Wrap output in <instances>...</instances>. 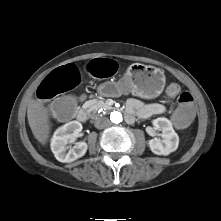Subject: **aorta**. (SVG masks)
I'll return each instance as SVG.
<instances>
[{
    "instance_id": "obj_1",
    "label": "aorta",
    "mask_w": 221,
    "mask_h": 221,
    "mask_svg": "<svg viewBox=\"0 0 221 221\" xmlns=\"http://www.w3.org/2000/svg\"><path fill=\"white\" fill-rule=\"evenodd\" d=\"M110 120H111V122H113L115 124H119L123 120L122 114L118 111H114L110 115Z\"/></svg>"
}]
</instances>
